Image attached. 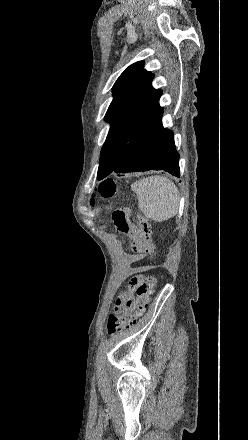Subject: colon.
Masks as SVG:
<instances>
[{
	"instance_id": "obj_1",
	"label": "colon",
	"mask_w": 248,
	"mask_h": 440,
	"mask_svg": "<svg viewBox=\"0 0 248 440\" xmlns=\"http://www.w3.org/2000/svg\"><path fill=\"white\" fill-rule=\"evenodd\" d=\"M116 192V184L113 180H106L99 186V193L102 197H111ZM138 224L141 230L137 243V250L151 259L155 247L152 241L151 226L142 216H138ZM112 220L118 231L128 233L131 229V222L127 211L115 210ZM156 285V278L152 274L137 275L130 279L129 293L124 297V311H115L107 319V332L111 335L121 332L134 325L137 319L146 311L151 295Z\"/></svg>"
}]
</instances>
